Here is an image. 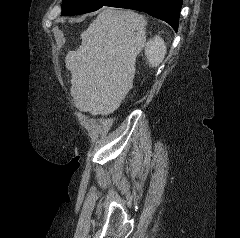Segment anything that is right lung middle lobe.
I'll list each match as a JSON object with an SVG mask.
<instances>
[{
    "label": "right lung middle lobe",
    "mask_w": 240,
    "mask_h": 238,
    "mask_svg": "<svg viewBox=\"0 0 240 238\" xmlns=\"http://www.w3.org/2000/svg\"><path fill=\"white\" fill-rule=\"evenodd\" d=\"M112 0H63L62 15H76L96 11Z\"/></svg>",
    "instance_id": "right-lung-middle-lobe-1"
}]
</instances>
